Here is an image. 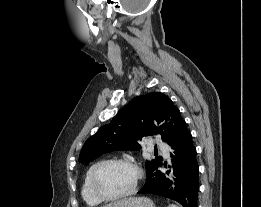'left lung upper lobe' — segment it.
I'll list each match as a JSON object with an SVG mask.
<instances>
[{"instance_id": "obj_1", "label": "left lung upper lobe", "mask_w": 261, "mask_h": 207, "mask_svg": "<svg viewBox=\"0 0 261 207\" xmlns=\"http://www.w3.org/2000/svg\"><path fill=\"white\" fill-rule=\"evenodd\" d=\"M179 109L160 92L138 96L123 107L110 124L102 126L84 144L79 162L88 163L104 153L140 149L137 140L146 135L160 134L171 144L182 123ZM162 157L146 162L147 174L155 169Z\"/></svg>"}]
</instances>
